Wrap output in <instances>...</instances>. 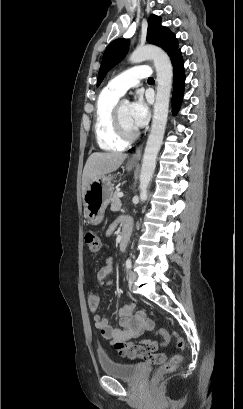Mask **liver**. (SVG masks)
I'll list each match as a JSON object with an SVG mask.
<instances>
[{
	"label": "liver",
	"instance_id": "obj_1",
	"mask_svg": "<svg viewBox=\"0 0 243 409\" xmlns=\"http://www.w3.org/2000/svg\"><path fill=\"white\" fill-rule=\"evenodd\" d=\"M126 158L127 154L116 152H95L91 154L83 170L82 193L84 194L92 180L116 171Z\"/></svg>",
	"mask_w": 243,
	"mask_h": 409
}]
</instances>
